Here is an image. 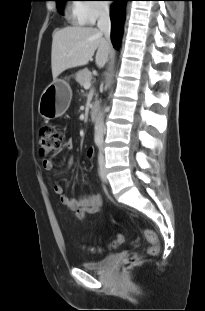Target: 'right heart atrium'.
<instances>
[{
  "label": "right heart atrium",
  "mask_w": 205,
  "mask_h": 311,
  "mask_svg": "<svg viewBox=\"0 0 205 311\" xmlns=\"http://www.w3.org/2000/svg\"><path fill=\"white\" fill-rule=\"evenodd\" d=\"M99 2L103 1H92L79 6V10L86 23H95L98 19L109 14V8L105 4Z\"/></svg>",
  "instance_id": "d8ad5b80"
}]
</instances>
